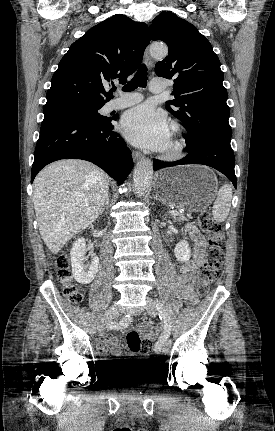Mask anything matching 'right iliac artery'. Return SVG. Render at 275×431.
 Segmentation results:
<instances>
[{"instance_id":"right-iliac-artery-1","label":"right iliac artery","mask_w":275,"mask_h":431,"mask_svg":"<svg viewBox=\"0 0 275 431\" xmlns=\"http://www.w3.org/2000/svg\"><path fill=\"white\" fill-rule=\"evenodd\" d=\"M131 322H132V318L130 316H126L118 322L108 323L107 327L109 329H121V328L127 327L129 324H131Z\"/></svg>"}]
</instances>
